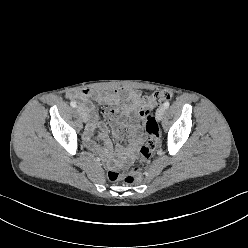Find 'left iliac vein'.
Returning a JSON list of instances; mask_svg holds the SVG:
<instances>
[{"mask_svg":"<svg viewBox=\"0 0 248 248\" xmlns=\"http://www.w3.org/2000/svg\"><path fill=\"white\" fill-rule=\"evenodd\" d=\"M165 107L164 106H160L157 111H156V118L158 121H160L163 116H164V113H165Z\"/></svg>","mask_w":248,"mask_h":248,"instance_id":"1","label":"left iliac vein"}]
</instances>
